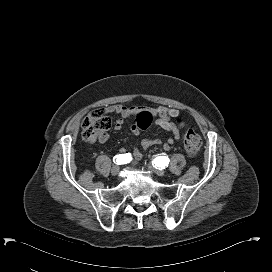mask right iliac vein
Wrapping results in <instances>:
<instances>
[{
    "label": "right iliac vein",
    "instance_id": "obj_1",
    "mask_svg": "<svg viewBox=\"0 0 272 272\" xmlns=\"http://www.w3.org/2000/svg\"><path fill=\"white\" fill-rule=\"evenodd\" d=\"M119 170H120L119 166L115 165V166H113L112 169H111V174H112L113 176H117L118 173H119Z\"/></svg>",
    "mask_w": 272,
    "mask_h": 272
}]
</instances>
